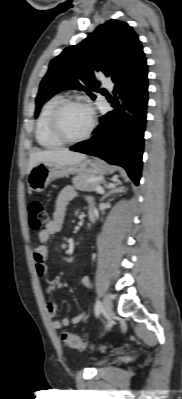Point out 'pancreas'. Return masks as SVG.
Returning <instances> with one entry per match:
<instances>
[{
  "label": "pancreas",
  "instance_id": "pancreas-1",
  "mask_svg": "<svg viewBox=\"0 0 182 399\" xmlns=\"http://www.w3.org/2000/svg\"><path fill=\"white\" fill-rule=\"evenodd\" d=\"M94 177L90 175H78L72 179L74 187L81 191H96V187L100 184V180H92Z\"/></svg>",
  "mask_w": 182,
  "mask_h": 399
}]
</instances>
